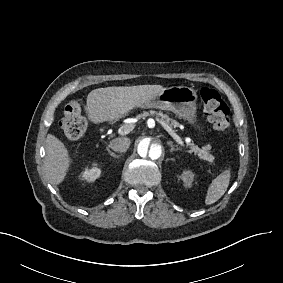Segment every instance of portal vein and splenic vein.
Segmentation results:
<instances>
[{
    "label": "portal vein and splenic vein",
    "instance_id": "1",
    "mask_svg": "<svg viewBox=\"0 0 283 283\" xmlns=\"http://www.w3.org/2000/svg\"><path fill=\"white\" fill-rule=\"evenodd\" d=\"M158 122L162 125V127L173 137V139L180 144L181 146L184 145V142L182 141V139L180 138L179 135H177L175 133V131L168 125L166 124L164 121H160L158 120ZM129 123H134V122H129ZM134 127H127V126H122L119 130L123 131L125 134H128L130 131L133 130Z\"/></svg>",
    "mask_w": 283,
    "mask_h": 283
}]
</instances>
